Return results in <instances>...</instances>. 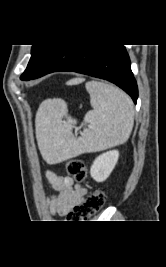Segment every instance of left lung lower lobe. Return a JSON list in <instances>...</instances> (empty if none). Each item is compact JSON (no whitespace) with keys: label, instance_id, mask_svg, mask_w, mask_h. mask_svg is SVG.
Masks as SVG:
<instances>
[{"label":"left lung lower lobe","instance_id":"obj_1","mask_svg":"<svg viewBox=\"0 0 166 267\" xmlns=\"http://www.w3.org/2000/svg\"><path fill=\"white\" fill-rule=\"evenodd\" d=\"M77 72L108 80L128 93L136 104L138 88L124 45H58L33 79L52 72Z\"/></svg>","mask_w":166,"mask_h":267}]
</instances>
